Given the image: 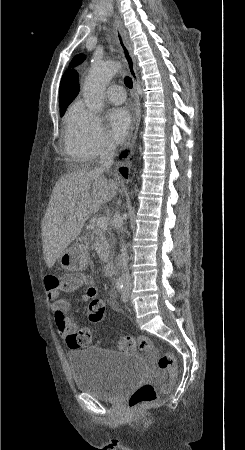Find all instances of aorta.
Wrapping results in <instances>:
<instances>
[{"instance_id": "762f6f07", "label": "aorta", "mask_w": 245, "mask_h": 450, "mask_svg": "<svg viewBox=\"0 0 245 450\" xmlns=\"http://www.w3.org/2000/svg\"><path fill=\"white\" fill-rule=\"evenodd\" d=\"M120 67L115 61L93 63L83 87L84 101L90 111L98 112L103 108L106 86Z\"/></svg>"}]
</instances>
